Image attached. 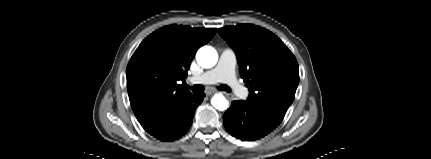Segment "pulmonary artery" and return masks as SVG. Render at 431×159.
<instances>
[{
    "label": "pulmonary artery",
    "instance_id": "pulmonary-artery-1",
    "mask_svg": "<svg viewBox=\"0 0 431 159\" xmlns=\"http://www.w3.org/2000/svg\"><path fill=\"white\" fill-rule=\"evenodd\" d=\"M237 57L235 52L230 48H225L219 57L217 65L190 79L194 84H214L223 82L240 98L248 96V90L242 86L236 78L235 69Z\"/></svg>",
    "mask_w": 431,
    "mask_h": 159
}]
</instances>
